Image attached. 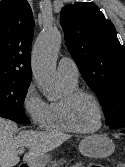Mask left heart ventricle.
Wrapping results in <instances>:
<instances>
[{"instance_id": "b2bd125f", "label": "left heart ventricle", "mask_w": 125, "mask_h": 167, "mask_svg": "<svg viewBox=\"0 0 125 167\" xmlns=\"http://www.w3.org/2000/svg\"><path fill=\"white\" fill-rule=\"evenodd\" d=\"M76 123L82 129H94L99 124V112L95 103L87 97L80 98L74 108Z\"/></svg>"}]
</instances>
